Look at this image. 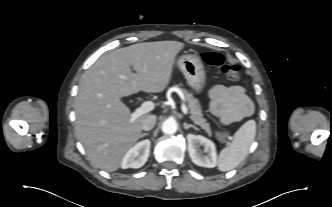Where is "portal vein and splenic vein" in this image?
Returning <instances> with one entry per match:
<instances>
[{"label": "portal vein and splenic vein", "mask_w": 332, "mask_h": 207, "mask_svg": "<svg viewBox=\"0 0 332 207\" xmlns=\"http://www.w3.org/2000/svg\"><path fill=\"white\" fill-rule=\"evenodd\" d=\"M155 107V104L152 101L143 102L139 109L133 112L130 116V122L133 123L139 116L152 111ZM182 112L187 115L188 109L184 103H182Z\"/></svg>", "instance_id": "obj_1"}]
</instances>
